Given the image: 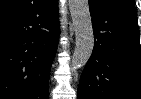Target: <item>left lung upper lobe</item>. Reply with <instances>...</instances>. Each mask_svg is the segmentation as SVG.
I'll return each instance as SVG.
<instances>
[{"instance_id": "5c2ea615", "label": "left lung upper lobe", "mask_w": 141, "mask_h": 99, "mask_svg": "<svg viewBox=\"0 0 141 99\" xmlns=\"http://www.w3.org/2000/svg\"><path fill=\"white\" fill-rule=\"evenodd\" d=\"M103 1H106L112 5H118V6H124V5L134 6V0H103Z\"/></svg>"}]
</instances>
